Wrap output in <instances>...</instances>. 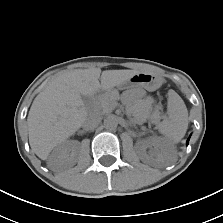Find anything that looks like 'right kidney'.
Returning a JSON list of instances; mask_svg holds the SVG:
<instances>
[{
	"instance_id": "ca27d5eb",
	"label": "right kidney",
	"mask_w": 223,
	"mask_h": 223,
	"mask_svg": "<svg viewBox=\"0 0 223 223\" xmlns=\"http://www.w3.org/2000/svg\"><path fill=\"white\" fill-rule=\"evenodd\" d=\"M78 143L76 141H65L59 144L51 153L48 161L50 168L58 169L67 166H73L75 163L76 150Z\"/></svg>"
}]
</instances>
